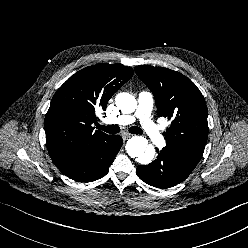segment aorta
<instances>
[{"label": "aorta", "instance_id": "aorta-1", "mask_svg": "<svg viewBox=\"0 0 248 248\" xmlns=\"http://www.w3.org/2000/svg\"><path fill=\"white\" fill-rule=\"evenodd\" d=\"M115 102L117 107L125 114L134 112L137 107L136 99L129 93L117 94ZM126 151L130 157L136 158L140 164H149L155 154L154 148L148 149V141L142 136L130 138L126 144Z\"/></svg>", "mask_w": 248, "mask_h": 248}]
</instances>
